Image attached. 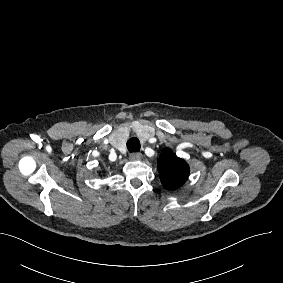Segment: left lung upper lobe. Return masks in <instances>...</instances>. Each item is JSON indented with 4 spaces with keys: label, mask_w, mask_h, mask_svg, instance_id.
<instances>
[{
    "label": "left lung upper lobe",
    "mask_w": 283,
    "mask_h": 283,
    "mask_svg": "<svg viewBox=\"0 0 283 283\" xmlns=\"http://www.w3.org/2000/svg\"><path fill=\"white\" fill-rule=\"evenodd\" d=\"M157 168L162 185L168 190L181 187L188 179L189 166L169 148L162 150Z\"/></svg>",
    "instance_id": "left-lung-upper-lobe-1"
}]
</instances>
